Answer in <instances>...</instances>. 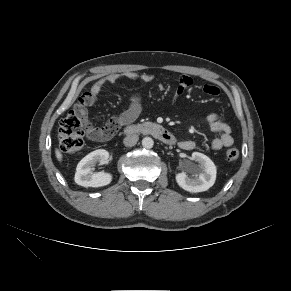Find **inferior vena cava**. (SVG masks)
Returning a JSON list of instances; mask_svg holds the SVG:
<instances>
[{
	"instance_id": "602c4592",
	"label": "inferior vena cava",
	"mask_w": 291,
	"mask_h": 291,
	"mask_svg": "<svg viewBox=\"0 0 291 291\" xmlns=\"http://www.w3.org/2000/svg\"><path fill=\"white\" fill-rule=\"evenodd\" d=\"M138 139H139V137L137 134H131V135H128L124 138L123 143L127 147H132L137 143Z\"/></svg>"
}]
</instances>
